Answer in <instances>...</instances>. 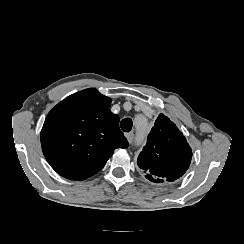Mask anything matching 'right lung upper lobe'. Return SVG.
Listing matches in <instances>:
<instances>
[{"instance_id": "cb5924a9", "label": "right lung upper lobe", "mask_w": 244, "mask_h": 244, "mask_svg": "<svg viewBox=\"0 0 244 244\" xmlns=\"http://www.w3.org/2000/svg\"><path fill=\"white\" fill-rule=\"evenodd\" d=\"M111 99L89 88L72 94L47 115L43 154L51 167L70 180H85L100 171L116 148L128 147Z\"/></svg>"}]
</instances>
